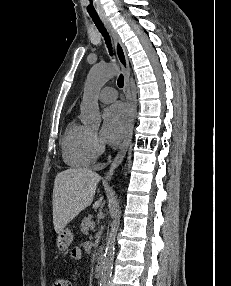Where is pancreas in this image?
Returning <instances> with one entry per match:
<instances>
[{
    "instance_id": "cf45deb5",
    "label": "pancreas",
    "mask_w": 231,
    "mask_h": 286,
    "mask_svg": "<svg viewBox=\"0 0 231 286\" xmlns=\"http://www.w3.org/2000/svg\"><path fill=\"white\" fill-rule=\"evenodd\" d=\"M90 224H91V216L84 217L80 226L81 232L84 234H88V231L90 229Z\"/></svg>"
}]
</instances>
